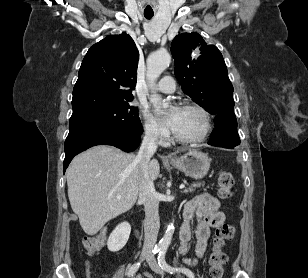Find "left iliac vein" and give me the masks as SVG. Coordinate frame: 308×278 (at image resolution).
Listing matches in <instances>:
<instances>
[{
	"label": "left iliac vein",
	"mask_w": 308,
	"mask_h": 278,
	"mask_svg": "<svg viewBox=\"0 0 308 278\" xmlns=\"http://www.w3.org/2000/svg\"><path fill=\"white\" fill-rule=\"evenodd\" d=\"M148 264H149L150 268H151L154 272H156V273H158V274H163V270H162V268L158 265L157 260L155 259V257L149 258Z\"/></svg>",
	"instance_id": "obj_1"
}]
</instances>
